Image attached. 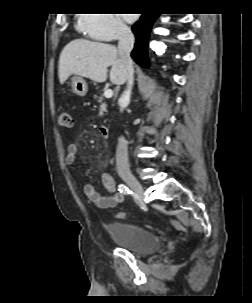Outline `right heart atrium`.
Masks as SVG:
<instances>
[{
	"label": "right heart atrium",
	"instance_id": "1",
	"mask_svg": "<svg viewBox=\"0 0 252 303\" xmlns=\"http://www.w3.org/2000/svg\"><path fill=\"white\" fill-rule=\"evenodd\" d=\"M78 25L90 37L103 42L122 38L129 32L118 14H79Z\"/></svg>",
	"mask_w": 252,
	"mask_h": 303
}]
</instances>
